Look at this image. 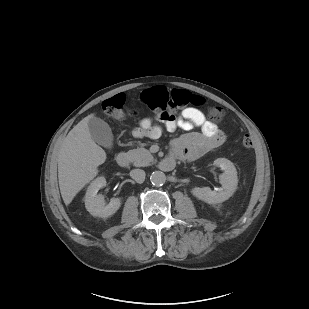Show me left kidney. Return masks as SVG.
I'll return each instance as SVG.
<instances>
[{
    "label": "left kidney",
    "instance_id": "1",
    "mask_svg": "<svg viewBox=\"0 0 309 309\" xmlns=\"http://www.w3.org/2000/svg\"><path fill=\"white\" fill-rule=\"evenodd\" d=\"M213 164L224 170L220 178L222 187L218 191H212L209 187H195L191 191L196 198L208 204H218L228 200L238 185L237 171L230 160L218 158Z\"/></svg>",
    "mask_w": 309,
    "mask_h": 309
}]
</instances>
